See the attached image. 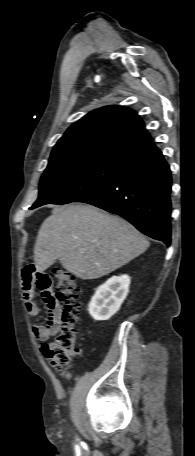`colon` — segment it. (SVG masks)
<instances>
[{"label": "colon", "mask_w": 195, "mask_h": 456, "mask_svg": "<svg viewBox=\"0 0 195 456\" xmlns=\"http://www.w3.org/2000/svg\"><path fill=\"white\" fill-rule=\"evenodd\" d=\"M56 277V301L59 307L61 328L57 336L41 346L43 356L50 364L61 369L70 363L78 352L79 336V285L77 278L64 269L54 271Z\"/></svg>", "instance_id": "5ec220e1"}]
</instances>
